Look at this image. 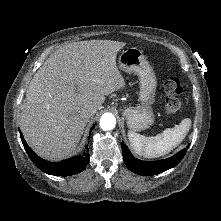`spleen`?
Segmentation results:
<instances>
[{"instance_id":"1","label":"spleen","mask_w":221,"mask_h":221,"mask_svg":"<svg viewBox=\"0 0 221 221\" xmlns=\"http://www.w3.org/2000/svg\"><path fill=\"white\" fill-rule=\"evenodd\" d=\"M191 127V120L186 118L175 125L167 128L161 134L154 137H145L132 130L128 131L130 145L134 152L146 158L163 156L178 146Z\"/></svg>"}]
</instances>
